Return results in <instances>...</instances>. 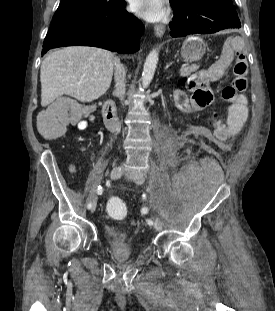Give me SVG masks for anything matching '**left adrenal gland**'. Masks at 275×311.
I'll use <instances>...</instances> for the list:
<instances>
[{
	"label": "left adrenal gland",
	"instance_id": "a2214340",
	"mask_svg": "<svg viewBox=\"0 0 275 311\" xmlns=\"http://www.w3.org/2000/svg\"><path fill=\"white\" fill-rule=\"evenodd\" d=\"M170 65H171V63H170V64H168V65H166V68H168Z\"/></svg>",
	"mask_w": 275,
	"mask_h": 311
}]
</instances>
